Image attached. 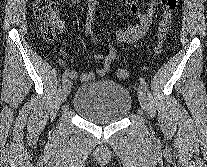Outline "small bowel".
Here are the masks:
<instances>
[{
	"label": "small bowel",
	"mask_w": 207,
	"mask_h": 167,
	"mask_svg": "<svg viewBox=\"0 0 207 167\" xmlns=\"http://www.w3.org/2000/svg\"><path fill=\"white\" fill-rule=\"evenodd\" d=\"M126 1L129 4L131 13L134 15L136 19V24L132 29L128 31L118 30L116 32V37L120 41H124L129 44H132L136 42L142 35H144L148 31L152 22V18L155 12V6L158 0H148L147 9L144 12L139 11L134 0H126ZM95 9H96V2L93 1L89 5L86 24H85V31L91 38H94V34L92 31V23L94 19ZM58 29L60 31H63L64 29V24L61 21H58ZM117 54H118V50L115 47L110 46L108 47L106 54L94 55V59L102 61V66L99 69L95 71H89L87 73H79L77 70H71L69 75L72 79H76L82 82L91 81L96 77L104 76L110 71L111 65L113 61L116 59ZM74 60L77 65V60L76 59Z\"/></svg>",
	"instance_id": "obj_1"
}]
</instances>
